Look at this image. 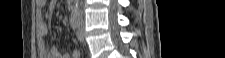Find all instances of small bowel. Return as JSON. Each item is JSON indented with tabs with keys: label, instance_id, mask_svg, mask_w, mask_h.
<instances>
[{
	"label": "small bowel",
	"instance_id": "obj_1",
	"mask_svg": "<svg viewBox=\"0 0 225 58\" xmlns=\"http://www.w3.org/2000/svg\"><path fill=\"white\" fill-rule=\"evenodd\" d=\"M46 0H36V5L42 8L46 5ZM48 33V25L42 15H37V34H38V50L42 58H79L80 52L78 49H72L70 54H64L59 51L56 46H53L49 51L46 49L43 37Z\"/></svg>",
	"mask_w": 225,
	"mask_h": 58
}]
</instances>
